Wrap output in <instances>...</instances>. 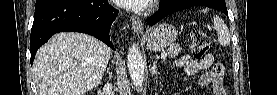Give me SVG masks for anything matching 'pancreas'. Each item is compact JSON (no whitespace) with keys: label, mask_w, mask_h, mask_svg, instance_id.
Listing matches in <instances>:
<instances>
[{"label":"pancreas","mask_w":277,"mask_h":95,"mask_svg":"<svg viewBox=\"0 0 277 95\" xmlns=\"http://www.w3.org/2000/svg\"><path fill=\"white\" fill-rule=\"evenodd\" d=\"M181 50H182V48L181 47H179L178 45H176V44H172V45H170L169 46V48H168V55L170 56V57H175L176 55H178L180 52H181Z\"/></svg>","instance_id":"cf45deb5"}]
</instances>
